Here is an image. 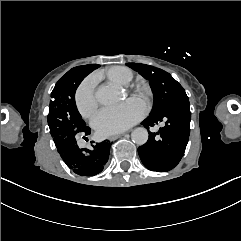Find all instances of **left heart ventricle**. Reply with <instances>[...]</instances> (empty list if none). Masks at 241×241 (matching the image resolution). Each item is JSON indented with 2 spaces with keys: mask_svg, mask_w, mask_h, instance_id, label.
<instances>
[{
  "mask_svg": "<svg viewBox=\"0 0 241 241\" xmlns=\"http://www.w3.org/2000/svg\"><path fill=\"white\" fill-rule=\"evenodd\" d=\"M150 92L146 85L143 83L139 85L137 90V99L141 102L148 104L149 103Z\"/></svg>",
  "mask_w": 241,
  "mask_h": 241,
  "instance_id": "1",
  "label": "left heart ventricle"
}]
</instances>
